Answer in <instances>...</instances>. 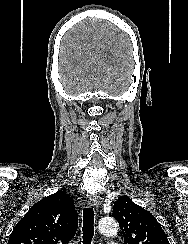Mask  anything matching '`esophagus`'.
Segmentation results:
<instances>
[{"label": "esophagus", "mask_w": 188, "mask_h": 244, "mask_svg": "<svg viewBox=\"0 0 188 244\" xmlns=\"http://www.w3.org/2000/svg\"><path fill=\"white\" fill-rule=\"evenodd\" d=\"M100 204V199L98 198V196H90L89 200H88V205L89 206H95L98 207Z\"/></svg>", "instance_id": "obj_1"}]
</instances>
